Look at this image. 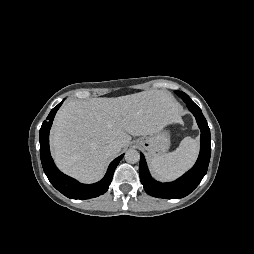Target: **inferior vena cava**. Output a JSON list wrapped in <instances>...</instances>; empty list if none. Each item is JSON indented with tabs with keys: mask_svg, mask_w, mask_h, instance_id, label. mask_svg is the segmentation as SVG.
Instances as JSON below:
<instances>
[{
	"mask_svg": "<svg viewBox=\"0 0 254 254\" xmlns=\"http://www.w3.org/2000/svg\"><path fill=\"white\" fill-rule=\"evenodd\" d=\"M120 150H121V146L119 144L112 143L107 146L106 153H107V155L112 156V155L119 153Z\"/></svg>",
	"mask_w": 254,
	"mask_h": 254,
	"instance_id": "obj_1",
	"label": "inferior vena cava"
}]
</instances>
